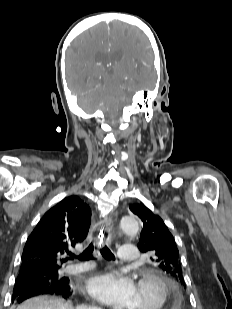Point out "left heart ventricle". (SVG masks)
<instances>
[{"label":"left heart ventricle","mask_w":232,"mask_h":309,"mask_svg":"<svg viewBox=\"0 0 232 309\" xmlns=\"http://www.w3.org/2000/svg\"><path fill=\"white\" fill-rule=\"evenodd\" d=\"M159 300V290L152 283L136 284L135 302L132 309H149Z\"/></svg>","instance_id":"left-heart-ventricle-1"}]
</instances>
